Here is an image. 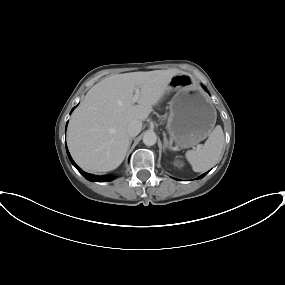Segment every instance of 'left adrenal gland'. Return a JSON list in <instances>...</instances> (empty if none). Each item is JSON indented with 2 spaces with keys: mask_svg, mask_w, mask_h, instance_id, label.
Segmentation results:
<instances>
[{
  "mask_svg": "<svg viewBox=\"0 0 285 285\" xmlns=\"http://www.w3.org/2000/svg\"><path fill=\"white\" fill-rule=\"evenodd\" d=\"M163 137H164V148L171 149L170 144L167 140L166 134L163 132Z\"/></svg>",
  "mask_w": 285,
  "mask_h": 285,
  "instance_id": "left-adrenal-gland-1",
  "label": "left adrenal gland"
}]
</instances>
